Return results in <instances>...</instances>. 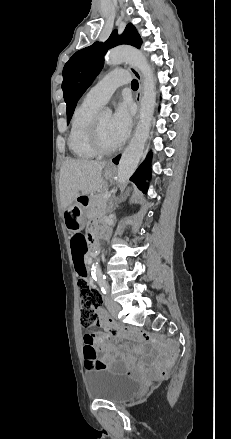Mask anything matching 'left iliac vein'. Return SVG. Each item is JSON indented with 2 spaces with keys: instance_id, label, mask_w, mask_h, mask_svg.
<instances>
[{
  "instance_id": "obj_1",
  "label": "left iliac vein",
  "mask_w": 231,
  "mask_h": 439,
  "mask_svg": "<svg viewBox=\"0 0 231 439\" xmlns=\"http://www.w3.org/2000/svg\"><path fill=\"white\" fill-rule=\"evenodd\" d=\"M105 303L107 305L110 314L116 318L118 312L120 311V306L117 303H115L109 296L105 297Z\"/></svg>"
}]
</instances>
